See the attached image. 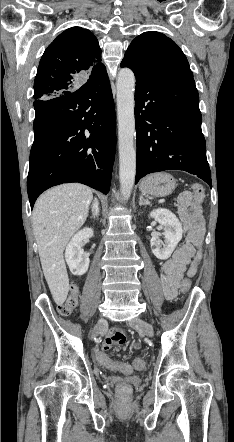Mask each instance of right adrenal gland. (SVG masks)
Wrapping results in <instances>:
<instances>
[{
    "label": "right adrenal gland",
    "instance_id": "right-adrenal-gland-1",
    "mask_svg": "<svg viewBox=\"0 0 234 442\" xmlns=\"http://www.w3.org/2000/svg\"><path fill=\"white\" fill-rule=\"evenodd\" d=\"M91 210H92L91 219L98 218L99 212H100V206H99V201L96 197L94 198L93 204L91 206Z\"/></svg>",
    "mask_w": 234,
    "mask_h": 442
}]
</instances>
